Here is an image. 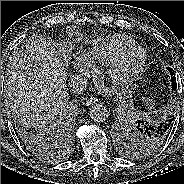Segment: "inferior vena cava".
Listing matches in <instances>:
<instances>
[{
	"instance_id": "obj_1",
	"label": "inferior vena cava",
	"mask_w": 184,
	"mask_h": 184,
	"mask_svg": "<svg viewBox=\"0 0 184 184\" xmlns=\"http://www.w3.org/2000/svg\"><path fill=\"white\" fill-rule=\"evenodd\" d=\"M88 86V80L81 75H73L70 80V87L75 93L83 92Z\"/></svg>"
}]
</instances>
